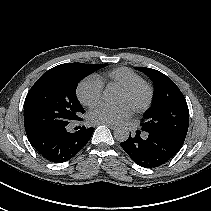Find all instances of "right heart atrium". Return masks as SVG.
<instances>
[{
  "label": "right heart atrium",
  "instance_id": "d8ad5b80",
  "mask_svg": "<svg viewBox=\"0 0 211 211\" xmlns=\"http://www.w3.org/2000/svg\"><path fill=\"white\" fill-rule=\"evenodd\" d=\"M102 94L103 84L96 76L85 78L77 87V97L87 107H93L98 104L102 98Z\"/></svg>",
  "mask_w": 211,
  "mask_h": 211
}]
</instances>
